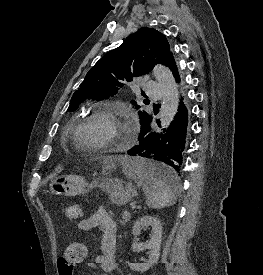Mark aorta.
I'll return each instance as SVG.
<instances>
[{
  "mask_svg": "<svg viewBox=\"0 0 263 275\" xmlns=\"http://www.w3.org/2000/svg\"><path fill=\"white\" fill-rule=\"evenodd\" d=\"M153 74L162 93V106L159 115L162 128H167L173 121L179 105V93L172 72L159 64L153 69Z\"/></svg>",
  "mask_w": 263,
  "mask_h": 275,
  "instance_id": "762f6f07",
  "label": "aorta"
}]
</instances>
